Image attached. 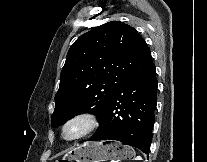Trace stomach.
<instances>
[{"instance_id":"1","label":"stomach","mask_w":207,"mask_h":162,"mask_svg":"<svg viewBox=\"0 0 207 162\" xmlns=\"http://www.w3.org/2000/svg\"><path fill=\"white\" fill-rule=\"evenodd\" d=\"M134 150L118 142L98 141L86 142L74 148L63 160H75L76 162H106L108 160L131 159Z\"/></svg>"}]
</instances>
